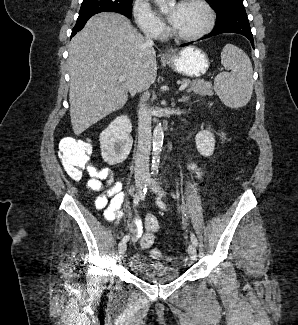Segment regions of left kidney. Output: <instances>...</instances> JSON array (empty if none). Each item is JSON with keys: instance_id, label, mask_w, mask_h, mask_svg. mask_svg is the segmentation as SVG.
I'll use <instances>...</instances> for the list:
<instances>
[{"instance_id": "left-kidney-1", "label": "left kidney", "mask_w": 298, "mask_h": 325, "mask_svg": "<svg viewBox=\"0 0 298 325\" xmlns=\"http://www.w3.org/2000/svg\"><path fill=\"white\" fill-rule=\"evenodd\" d=\"M196 148L203 156H211L215 148V138L211 130H200L195 136Z\"/></svg>"}]
</instances>
